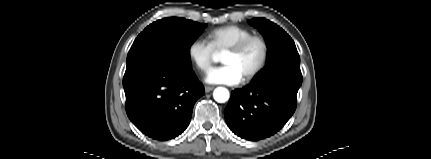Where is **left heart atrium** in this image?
<instances>
[{
    "label": "left heart atrium",
    "mask_w": 431,
    "mask_h": 159,
    "mask_svg": "<svg viewBox=\"0 0 431 159\" xmlns=\"http://www.w3.org/2000/svg\"><path fill=\"white\" fill-rule=\"evenodd\" d=\"M243 77L240 72L232 65H224L212 68L205 80L210 84H225L237 85L242 81Z\"/></svg>",
    "instance_id": "1"
}]
</instances>
